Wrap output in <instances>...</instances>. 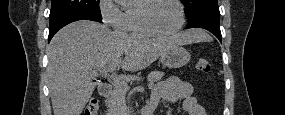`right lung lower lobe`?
I'll use <instances>...</instances> for the list:
<instances>
[{
	"mask_svg": "<svg viewBox=\"0 0 285 115\" xmlns=\"http://www.w3.org/2000/svg\"><path fill=\"white\" fill-rule=\"evenodd\" d=\"M83 19L102 23V19H97L94 17L86 16V15H69V16L59 18L50 23L48 42L65 25L72 23L74 21L83 20Z\"/></svg>",
	"mask_w": 285,
	"mask_h": 115,
	"instance_id": "right-lung-lower-lobe-1",
	"label": "right lung lower lobe"
}]
</instances>
